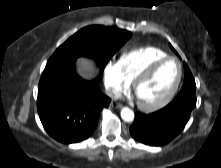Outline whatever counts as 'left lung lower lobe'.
I'll use <instances>...</instances> for the list:
<instances>
[{"mask_svg":"<svg viewBox=\"0 0 221 168\" xmlns=\"http://www.w3.org/2000/svg\"><path fill=\"white\" fill-rule=\"evenodd\" d=\"M195 89L182 88L171 103L157 112L136 113L130 127L132 137L150 146H162L172 141L184 129L196 106Z\"/></svg>","mask_w":221,"mask_h":168,"instance_id":"obj_1","label":"left lung lower lobe"}]
</instances>
